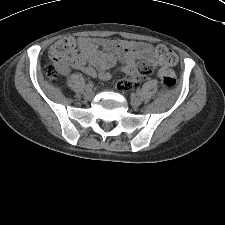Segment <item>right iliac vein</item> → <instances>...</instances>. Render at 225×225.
Masks as SVG:
<instances>
[{
  "mask_svg": "<svg viewBox=\"0 0 225 225\" xmlns=\"http://www.w3.org/2000/svg\"><path fill=\"white\" fill-rule=\"evenodd\" d=\"M85 98L91 100L94 96V92L92 89H87L86 92L84 93Z\"/></svg>",
  "mask_w": 225,
  "mask_h": 225,
  "instance_id": "63e3f726",
  "label": "right iliac vein"
}]
</instances>
